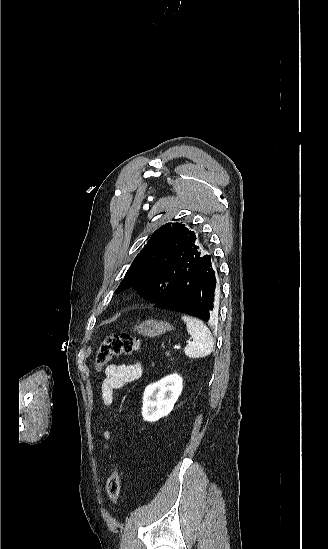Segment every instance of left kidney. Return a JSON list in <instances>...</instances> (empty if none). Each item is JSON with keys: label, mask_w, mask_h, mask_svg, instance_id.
<instances>
[{"label": "left kidney", "mask_w": 328, "mask_h": 549, "mask_svg": "<svg viewBox=\"0 0 328 549\" xmlns=\"http://www.w3.org/2000/svg\"><path fill=\"white\" fill-rule=\"evenodd\" d=\"M183 379L177 373L164 377L158 383L148 385L143 395L142 415L145 421H158L171 413L182 393Z\"/></svg>", "instance_id": "left-kidney-1"}]
</instances>
